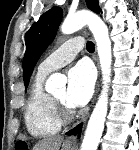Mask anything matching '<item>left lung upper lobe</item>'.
<instances>
[{
  "instance_id": "left-lung-upper-lobe-1",
  "label": "left lung upper lobe",
  "mask_w": 139,
  "mask_h": 150,
  "mask_svg": "<svg viewBox=\"0 0 139 150\" xmlns=\"http://www.w3.org/2000/svg\"><path fill=\"white\" fill-rule=\"evenodd\" d=\"M86 4L92 11L100 12L98 0H86ZM62 14L61 8H51L26 33V51L23 58V78L26 88L39 57L55 38Z\"/></svg>"
}]
</instances>
